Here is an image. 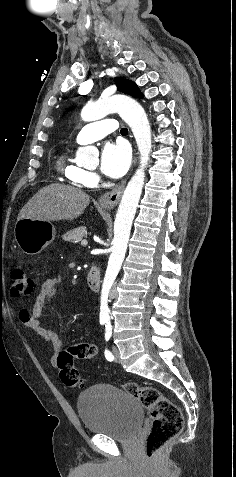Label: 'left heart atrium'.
Returning a JSON list of instances; mask_svg holds the SVG:
<instances>
[{
    "mask_svg": "<svg viewBox=\"0 0 236 477\" xmlns=\"http://www.w3.org/2000/svg\"><path fill=\"white\" fill-rule=\"evenodd\" d=\"M131 155L126 145L122 143H107L102 151L100 168L108 177L119 178L128 170Z\"/></svg>",
    "mask_w": 236,
    "mask_h": 477,
    "instance_id": "39dd6f15",
    "label": "left heart atrium"
}]
</instances>
